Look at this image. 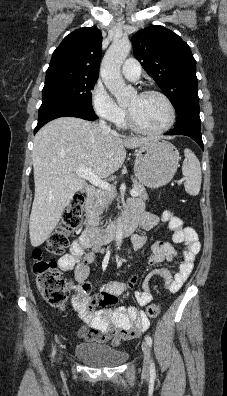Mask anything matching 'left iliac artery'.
<instances>
[{
  "mask_svg": "<svg viewBox=\"0 0 227 396\" xmlns=\"http://www.w3.org/2000/svg\"><path fill=\"white\" fill-rule=\"evenodd\" d=\"M145 339H146L147 344L151 347L152 346V338L149 335H147L145 337ZM150 372L153 374L155 373V365L153 362H151Z\"/></svg>",
  "mask_w": 227,
  "mask_h": 396,
  "instance_id": "obj_1",
  "label": "left iliac artery"
}]
</instances>
